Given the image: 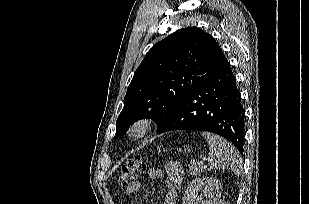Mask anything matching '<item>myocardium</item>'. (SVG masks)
Segmentation results:
<instances>
[{
    "label": "myocardium",
    "instance_id": "f54148a6",
    "mask_svg": "<svg viewBox=\"0 0 309 204\" xmlns=\"http://www.w3.org/2000/svg\"><path fill=\"white\" fill-rule=\"evenodd\" d=\"M153 128V122L149 118H143L135 121L129 127L127 136L132 141H138L145 137Z\"/></svg>",
    "mask_w": 309,
    "mask_h": 204
}]
</instances>
